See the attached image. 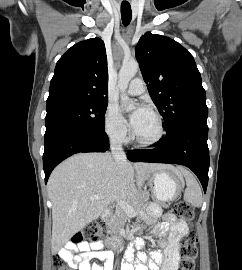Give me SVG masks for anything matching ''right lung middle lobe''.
<instances>
[{
  "label": "right lung middle lobe",
  "instance_id": "1",
  "mask_svg": "<svg viewBox=\"0 0 242 270\" xmlns=\"http://www.w3.org/2000/svg\"><path fill=\"white\" fill-rule=\"evenodd\" d=\"M108 100H68L46 106V132L60 126L104 131Z\"/></svg>",
  "mask_w": 242,
  "mask_h": 270
}]
</instances>
